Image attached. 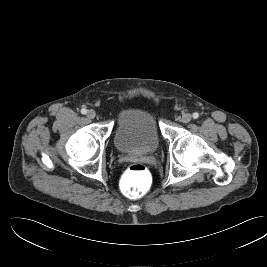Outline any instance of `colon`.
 Returning a JSON list of instances; mask_svg holds the SVG:
<instances>
[{"label":"colon","instance_id":"obj_1","mask_svg":"<svg viewBox=\"0 0 267 267\" xmlns=\"http://www.w3.org/2000/svg\"><path fill=\"white\" fill-rule=\"evenodd\" d=\"M151 174L141 163H134L121 178L120 188L124 196L135 199L148 192L151 186Z\"/></svg>","mask_w":267,"mask_h":267}]
</instances>
